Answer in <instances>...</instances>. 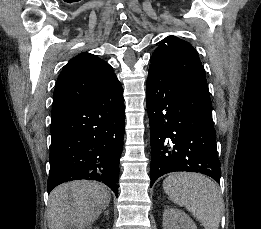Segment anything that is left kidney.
<instances>
[{"instance_id":"5707ae66","label":"left kidney","mask_w":261,"mask_h":229,"mask_svg":"<svg viewBox=\"0 0 261 229\" xmlns=\"http://www.w3.org/2000/svg\"><path fill=\"white\" fill-rule=\"evenodd\" d=\"M163 229H197L192 219L179 209H165L163 213Z\"/></svg>"}]
</instances>
